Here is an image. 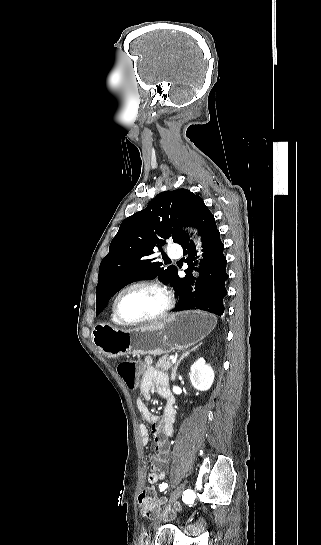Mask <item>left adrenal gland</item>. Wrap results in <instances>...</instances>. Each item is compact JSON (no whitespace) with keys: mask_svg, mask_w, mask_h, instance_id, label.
<instances>
[{"mask_svg":"<svg viewBox=\"0 0 321 545\" xmlns=\"http://www.w3.org/2000/svg\"><path fill=\"white\" fill-rule=\"evenodd\" d=\"M195 349H198V347H194V349H191V351H195ZM191 351H187V353H183L182 357H180L179 361H177L175 367H173V369H172L171 381H175L176 371L178 369V365H180L181 361H183V359H185V357H188V355H190Z\"/></svg>","mask_w":321,"mask_h":545,"instance_id":"a2214340","label":"left adrenal gland"}]
</instances>
